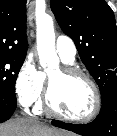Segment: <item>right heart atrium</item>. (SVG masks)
<instances>
[{
    "mask_svg": "<svg viewBox=\"0 0 117 136\" xmlns=\"http://www.w3.org/2000/svg\"><path fill=\"white\" fill-rule=\"evenodd\" d=\"M45 87V76L35 64L27 60L21 66L15 80V94L25 108L37 105Z\"/></svg>",
    "mask_w": 117,
    "mask_h": 136,
    "instance_id": "right-heart-atrium-1",
    "label": "right heart atrium"
}]
</instances>
